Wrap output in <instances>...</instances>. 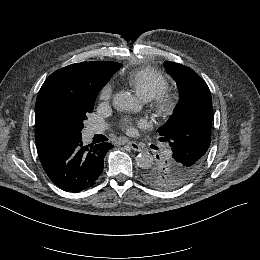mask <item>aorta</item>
I'll return each mask as SVG.
<instances>
[{"label":"aorta","instance_id":"1","mask_svg":"<svg viewBox=\"0 0 260 260\" xmlns=\"http://www.w3.org/2000/svg\"><path fill=\"white\" fill-rule=\"evenodd\" d=\"M113 102L120 111H132L139 107L137 99L129 92L125 91L116 93ZM135 160L136 164L142 169L150 167L154 162L153 156L148 152L138 154Z\"/></svg>","mask_w":260,"mask_h":260}]
</instances>
